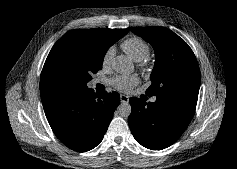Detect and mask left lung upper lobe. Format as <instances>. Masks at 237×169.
Instances as JSON below:
<instances>
[{
	"instance_id": "obj_1",
	"label": "left lung upper lobe",
	"mask_w": 237,
	"mask_h": 169,
	"mask_svg": "<svg viewBox=\"0 0 237 169\" xmlns=\"http://www.w3.org/2000/svg\"><path fill=\"white\" fill-rule=\"evenodd\" d=\"M131 31L148 41L155 50L152 85L146 90L148 96L198 97L199 66L193 51L182 38L164 27H140Z\"/></svg>"
}]
</instances>
